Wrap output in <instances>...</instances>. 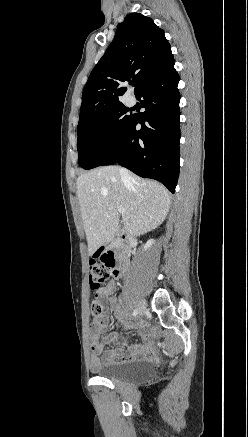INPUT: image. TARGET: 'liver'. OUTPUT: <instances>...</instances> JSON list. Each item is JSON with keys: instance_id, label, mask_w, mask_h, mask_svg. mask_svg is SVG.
Segmentation results:
<instances>
[{"instance_id": "1", "label": "liver", "mask_w": 248, "mask_h": 437, "mask_svg": "<svg viewBox=\"0 0 248 437\" xmlns=\"http://www.w3.org/2000/svg\"><path fill=\"white\" fill-rule=\"evenodd\" d=\"M76 187L89 255L115 237L118 206L125 209L124 232L134 237L157 228L170 209V195L163 185L129 171L123 178L117 166L81 174Z\"/></svg>"}]
</instances>
